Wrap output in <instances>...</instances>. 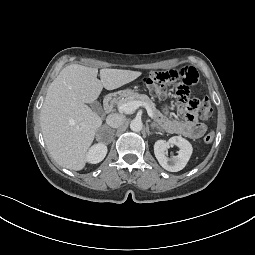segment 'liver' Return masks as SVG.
Instances as JSON below:
<instances>
[{"mask_svg":"<svg viewBox=\"0 0 255 255\" xmlns=\"http://www.w3.org/2000/svg\"><path fill=\"white\" fill-rule=\"evenodd\" d=\"M98 70L71 64L61 70L48 88L40 124L52 158L70 170H82L96 132L100 116L86 104L99 97L103 88L117 89L138 78L142 72L104 68Z\"/></svg>","mask_w":255,"mask_h":255,"instance_id":"1","label":"liver"}]
</instances>
